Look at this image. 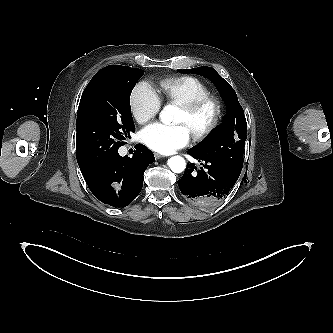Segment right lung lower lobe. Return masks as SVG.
Listing matches in <instances>:
<instances>
[{
	"mask_svg": "<svg viewBox=\"0 0 333 333\" xmlns=\"http://www.w3.org/2000/svg\"><path fill=\"white\" fill-rule=\"evenodd\" d=\"M135 148L132 158L121 157L116 152L81 170L98 200L113 207H125L138 196L143 186L144 171L155 158L146 146L138 144Z\"/></svg>",
	"mask_w": 333,
	"mask_h": 333,
	"instance_id": "98d812e1",
	"label": "right lung lower lobe"
}]
</instances>
